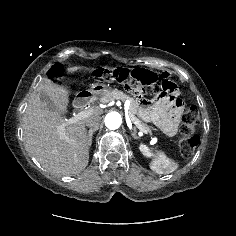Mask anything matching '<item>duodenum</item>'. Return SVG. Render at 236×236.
Wrapping results in <instances>:
<instances>
[{
  "instance_id": "duodenum-1",
  "label": "duodenum",
  "mask_w": 236,
  "mask_h": 236,
  "mask_svg": "<svg viewBox=\"0 0 236 236\" xmlns=\"http://www.w3.org/2000/svg\"><path fill=\"white\" fill-rule=\"evenodd\" d=\"M91 96L89 94H81L74 101V107L76 109H83L90 102Z\"/></svg>"
}]
</instances>
